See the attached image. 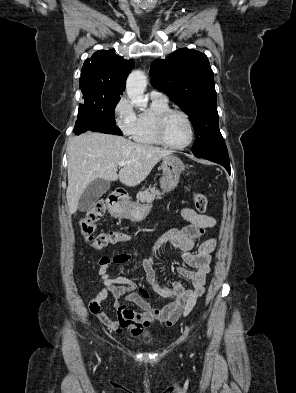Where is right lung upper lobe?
<instances>
[{"mask_svg": "<svg viewBox=\"0 0 296 393\" xmlns=\"http://www.w3.org/2000/svg\"><path fill=\"white\" fill-rule=\"evenodd\" d=\"M134 61L119 57L112 50H99L82 67L80 89L85 98L120 96Z\"/></svg>", "mask_w": 296, "mask_h": 393, "instance_id": "right-lung-upper-lobe-1", "label": "right lung upper lobe"}]
</instances>
